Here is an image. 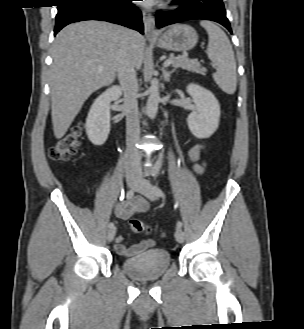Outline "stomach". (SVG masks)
I'll return each instance as SVG.
<instances>
[{"label":"stomach","mask_w":304,"mask_h":329,"mask_svg":"<svg viewBox=\"0 0 304 329\" xmlns=\"http://www.w3.org/2000/svg\"><path fill=\"white\" fill-rule=\"evenodd\" d=\"M197 41V32L185 24L172 25L156 39V43L160 48L176 52L188 51L194 48Z\"/></svg>","instance_id":"0dacf381"}]
</instances>
